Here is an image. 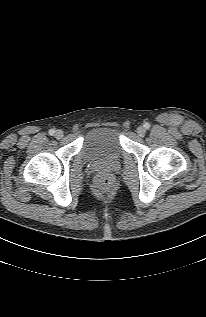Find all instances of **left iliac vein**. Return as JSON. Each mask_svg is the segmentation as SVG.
<instances>
[{
	"label": "left iliac vein",
	"mask_w": 206,
	"mask_h": 317,
	"mask_svg": "<svg viewBox=\"0 0 206 317\" xmlns=\"http://www.w3.org/2000/svg\"><path fill=\"white\" fill-rule=\"evenodd\" d=\"M145 133H146V130H145V128H144L143 126H139V127L137 128V134H138V136L143 137V136L145 135Z\"/></svg>",
	"instance_id": "left-iliac-vein-1"
}]
</instances>
